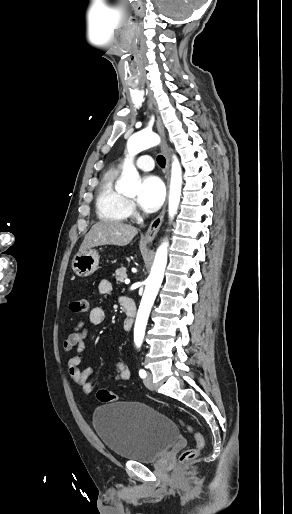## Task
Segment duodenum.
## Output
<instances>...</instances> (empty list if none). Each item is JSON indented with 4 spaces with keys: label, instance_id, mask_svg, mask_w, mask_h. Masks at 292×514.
<instances>
[{
    "label": "duodenum",
    "instance_id": "obj_1",
    "mask_svg": "<svg viewBox=\"0 0 292 514\" xmlns=\"http://www.w3.org/2000/svg\"><path fill=\"white\" fill-rule=\"evenodd\" d=\"M121 304H122L123 309L127 313V318L124 321V330L129 332L132 329L133 319L136 314V303L133 298L122 297Z\"/></svg>",
    "mask_w": 292,
    "mask_h": 514
}]
</instances>
